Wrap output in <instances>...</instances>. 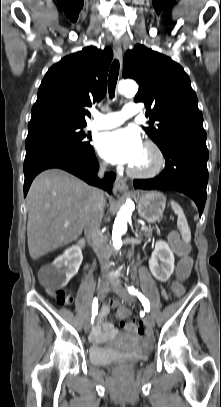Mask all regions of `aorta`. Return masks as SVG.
Returning <instances> with one entry per match:
<instances>
[{"mask_svg":"<svg viewBox=\"0 0 221 407\" xmlns=\"http://www.w3.org/2000/svg\"><path fill=\"white\" fill-rule=\"evenodd\" d=\"M138 86L132 80L121 81L118 86L120 94L135 95ZM134 210V203L130 199L120 208L113 225L112 242L115 249H120L122 246V235L127 231V222L131 219Z\"/></svg>","mask_w":221,"mask_h":407,"instance_id":"1","label":"aorta"}]
</instances>
